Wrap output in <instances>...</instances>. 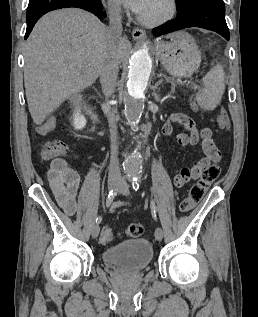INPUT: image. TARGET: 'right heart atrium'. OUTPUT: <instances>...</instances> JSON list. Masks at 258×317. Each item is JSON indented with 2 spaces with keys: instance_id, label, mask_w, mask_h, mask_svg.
Wrapping results in <instances>:
<instances>
[{
  "instance_id": "1",
  "label": "right heart atrium",
  "mask_w": 258,
  "mask_h": 317,
  "mask_svg": "<svg viewBox=\"0 0 258 317\" xmlns=\"http://www.w3.org/2000/svg\"><path fill=\"white\" fill-rule=\"evenodd\" d=\"M109 9L113 13H118L120 11L118 4L113 1L109 2Z\"/></svg>"
}]
</instances>
